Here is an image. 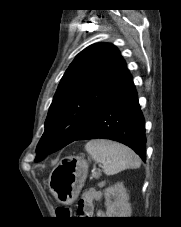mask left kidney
I'll return each mask as SVG.
<instances>
[{"label":"left kidney","mask_w":181,"mask_h":227,"mask_svg":"<svg viewBox=\"0 0 181 227\" xmlns=\"http://www.w3.org/2000/svg\"><path fill=\"white\" fill-rule=\"evenodd\" d=\"M107 217H131L129 195L123 183H117L105 190Z\"/></svg>","instance_id":"1"}]
</instances>
